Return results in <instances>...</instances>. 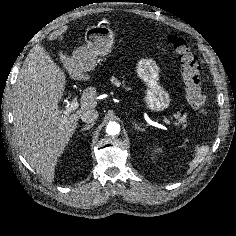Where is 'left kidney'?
<instances>
[{
    "mask_svg": "<svg viewBox=\"0 0 236 236\" xmlns=\"http://www.w3.org/2000/svg\"><path fill=\"white\" fill-rule=\"evenodd\" d=\"M156 151H157V152L160 151V148H157Z\"/></svg>",
    "mask_w": 236,
    "mask_h": 236,
    "instance_id": "5707ae66",
    "label": "left kidney"
}]
</instances>
